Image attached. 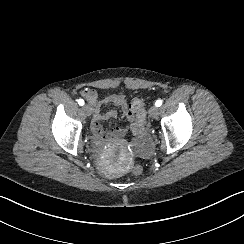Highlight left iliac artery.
<instances>
[{
    "mask_svg": "<svg viewBox=\"0 0 244 244\" xmlns=\"http://www.w3.org/2000/svg\"><path fill=\"white\" fill-rule=\"evenodd\" d=\"M155 105L157 107H160L162 105V100H157L156 103H155Z\"/></svg>",
    "mask_w": 244,
    "mask_h": 244,
    "instance_id": "1",
    "label": "left iliac artery"
}]
</instances>
